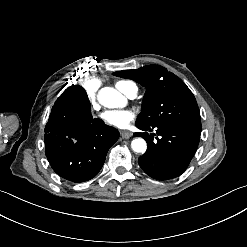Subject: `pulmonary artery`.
<instances>
[{
    "label": "pulmonary artery",
    "instance_id": "e3ab8cb5",
    "mask_svg": "<svg viewBox=\"0 0 247 247\" xmlns=\"http://www.w3.org/2000/svg\"><path fill=\"white\" fill-rule=\"evenodd\" d=\"M126 93L129 97H134L136 95V90L133 87H126Z\"/></svg>",
    "mask_w": 247,
    "mask_h": 247
}]
</instances>
